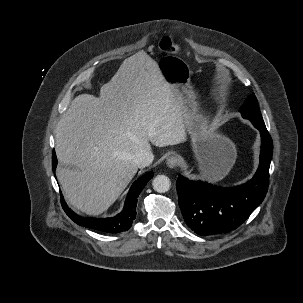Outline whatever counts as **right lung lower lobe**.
Here are the masks:
<instances>
[{
	"label": "right lung lower lobe",
	"instance_id": "obj_1",
	"mask_svg": "<svg viewBox=\"0 0 303 303\" xmlns=\"http://www.w3.org/2000/svg\"><path fill=\"white\" fill-rule=\"evenodd\" d=\"M57 165V157L55 151L52 154V168L55 172ZM153 177V172H149L146 175L142 176L130 188V191L127 195L124 209L121 213L111 218H84L76 213H74L63 200L61 196V204L66 212V214L78 225L91 228L96 231L105 232V233H119L122 231L128 230L136 218V205L137 198L148 183V181Z\"/></svg>",
	"mask_w": 303,
	"mask_h": 303
}]
</instances>
